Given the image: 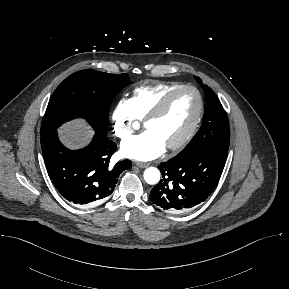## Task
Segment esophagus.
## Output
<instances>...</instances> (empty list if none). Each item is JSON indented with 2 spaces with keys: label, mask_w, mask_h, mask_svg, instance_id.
Instances as JSON below:
<instances>
[{
  "label": "esophagus",
  "mask_w": 289,
  "mask_h": 289,
  "mask_svg": "<svg viewBox=\"0 0 289 289\" xmlns=\"http://www.w3.org/2000/svg\"><path fill=\"white\" fill-rule=\"evenodd\" d=\"M148 165V163L136 162V166H138L139 168H146L148 167Z\"/></svg>",
  "instance_id": "34e87169"
}]
</instances>
